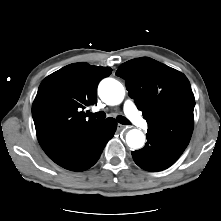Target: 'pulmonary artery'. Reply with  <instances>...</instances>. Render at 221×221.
Returning <instances> with one entry per match:
<instances>
[{
	"label": "pulmonary artery",
	"instance_id": "obj_1",
	"mask_svg": "<svg viewBox=\"0 0 221 221\" xmlns=\"http://www.w3.org/2000/svg\"><path fill=\"white\" fill-rule=\"evenodd\" d=\"M124 113L136 126L141 128H146L148 126V123L141 117L134 102L131 99L125 100Z\"/></svg>",
	"mask_w": 221,
	"mask_h": 221
}]
</instances>
